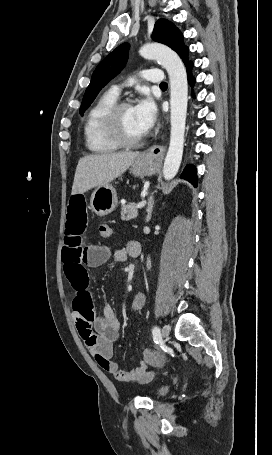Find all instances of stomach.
Returning <instances> with one entry per match:
<instances>
[{"mask_svg":"<svg viewBox=\"0 0 272 455\" xmlns=\"http://www.w3.org/2000/svg\"><path fill=\"white\" fill-rule=\"evenodd\" d=\"M157 161L148 154L141 153L131 164L130 172L136 177L151 176L157 171ZM118 199L115 188L108 184L96 188L90 198V208L98 216L113 212Z\"/></svg>","mask_w":272,"mask_h":455,"instance_id":"obj_1","label":"stomach"}]
</instances>
